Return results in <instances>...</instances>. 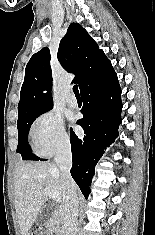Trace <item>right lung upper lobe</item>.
I'll return each instance as SVG.
<instances>
[{
	"label": "right lung upper lobe",
	"instance_id": "obj_1",
	"mask_svg": "<svg viewBox=\"0 0 155 235\" xmlns=\"http://www.w3.org/2000/svg\"><path fill=\"white\" fill-rule=\"evenodd\" d=\"M57 56L63 68L75 74L73 81L79 84L80 90L113 70L104 52L78 23L70 24L60 41ZM50 59V51L45 47L35 53L26 65L18 116L48 111L53 107Z\"/></svg>",
	"mask_w": 155,
	"mask_h": 235
}]
</instances>
